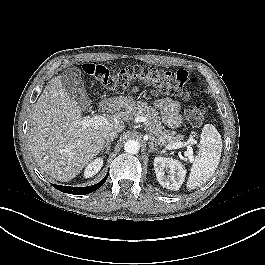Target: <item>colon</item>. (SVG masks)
I'll use <instances>...</instances> for the list:
<instances>
[{
  "label": "colon",
  "mask_w": 265,
  "mask_h": 265,
  "mask_svg": "<svg viewBox=\"0 0 265 265\" xmlns=\"http://www.w3.org/2000/svg\"><path fill=\"white\" fill-rule=\"evenodd\" d=\"M83 71L93 77L110 91L121 93L132 84L139 82L157 87L161 92L181 97L191 98V89L196 84V78L185 70L168 71L148 65H132L120 70H112L101 64L86 63ZM206 107L202 103L191 104L186 110V117L192 126H200L205 117Z\"/></svg>",
  "instance_id": "obj_1"
}]
</instances>
